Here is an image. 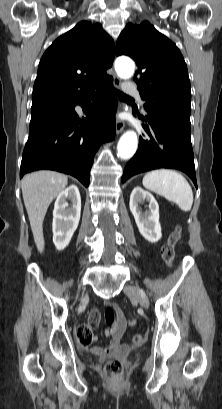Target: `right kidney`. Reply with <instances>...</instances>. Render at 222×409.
Instances as JSON below:
<instances>
[{"label": "right kidney", "instance_id": "1", "mask_svg": "<svg viewBox=\"0 0 222 409\" xmlns=\"http://www.w3.org/2000/svg\"><path fill=\"white\" fill-rule=\"evenodd\" d=\"M70 201L72 203L69 206ZM81 214V197L79 189L72 184L62 191L54 204L53 210V243L57 250H63L68 246L76 231Z\"/></svg>", "mask_w": 222, "mask_h": 409}]
</instances>
